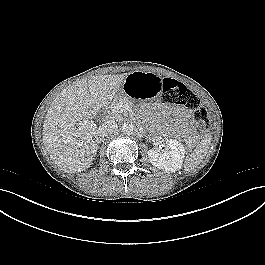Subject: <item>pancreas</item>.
I'll list each match as a JSON object with an SVG mask.
<instances>
[{"label": "pancreas", "instance_id": "pancreas-1", "mask_svg": "<svg viewBox=\"0 0 265 265\" xmlns=\"http://www.w3.org/2000/svg\"><path fill=\"white\" fill-rule=\"evenodd\" d=\"M119 104L133 107V103L131 102V100L127 96L122 95V96L115 97L113 99V102H112V113H111V115H112L111 118L114 120H121L122 119V115L120 114V112H118L116 110V107Z\"/></svg>", "mask_w": 265, "mask_h": 265}]
</instances>
